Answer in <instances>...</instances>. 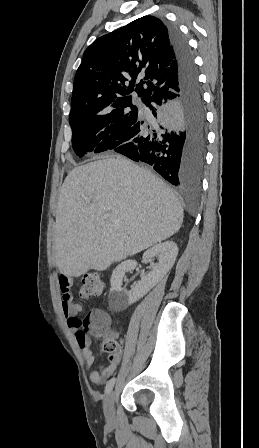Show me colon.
<instances>
[{"label": "colon", "instance_id": "5ec220e1", "mask_svg": "<svg viewBox=\"0 0 259 448\" xmlns=\"http://www.w3.org/2000/svg\"><path fill=\"white\" fill-rule=\"evenodd\" d=\"M105 284L101 277L90 272L83 276L81 280L79 294L82 298H93L103 294ZM109 318L106 313L100 310L91 311L81 322L79 336L87 337V333L103 339V348L110 355H118L121 353L120 346L111 336L107 335V327Z\"/></svg>", "mask_w": 259, "mask_h": 448}]
</instances>
